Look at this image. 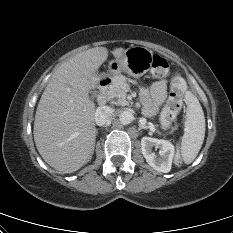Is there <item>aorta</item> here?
<instances>
[{"label": "aorta", "instance_id": "1", "mask_svg": "<svg viewBox=\"0 0 233 233\" xmlns=\"http://www.w3.org/2000/svg\"><path fill=\"white\" fill-rule=\"evenodd\" d=\"M134 119L133 114L130 111H122L119 115V121L123 125H128L130 124Z\"/></svg>", "mask_w": 233, "mask_h": 233}]
</instances>
